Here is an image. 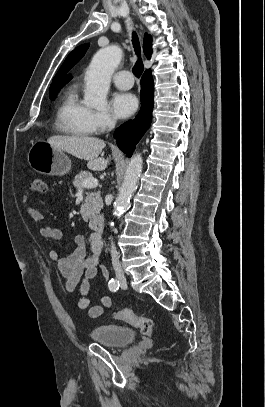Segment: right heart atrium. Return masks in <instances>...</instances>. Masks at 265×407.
Returning <instances> with one entry per match:
<instances>
[{
  "label": "right heart atrium",
  "instance_id": "obj_1",
  "mask_svg": "<svg viewBox=\"0 0 265 407\" xmlns=\"http://www.w3.org/2000/svg\"><path fill=\"white\" fill-rule=\"evenodd\" d=\"M89 122L94 133H101L114 126L115 118L107 111L90 110Z\"/></svg>",
  "mask_w": 265,
  "mask_h": 407
}]
</instances>
